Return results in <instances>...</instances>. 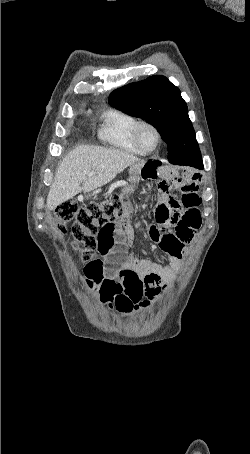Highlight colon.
Segmentation results:
<instances>
[{"instance_id":"colon-1","label":"colon","mask_w":250,"mask_h":454,"mask_svg":"<svg viewBox=\"0 0 250 454\" xmlns=\"http://www.w3.org/2000/svg\"><path fill=\"white\" fill-rule=\"evenodd\" d=\"M131 212L128 197L115 193L109 200L78 206L73 200H66L55 209L59 228L64 231L71 220L72 236L76 250L83 261H89L98 248V233L106 225L115 223Z\"/></svg>"}]
</instances>
